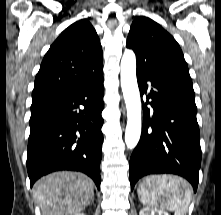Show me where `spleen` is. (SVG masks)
Listing matches in <instances>:
<instances>
[{"label":"spleen","mask_w":221,"mask_h":215,"mask_svg":"<svg viewBox=\"0 0 221 215\" xmlns=\"http://www.w3.org/2000/svg\"><path fill=\"white\" fill-rule=\"evenodd\" d=\"M189 184L180 177L163 175L145 178L138 188L141 202L150 208L173 211L186 215L191 202Z\"/></svg>","instance_id":"obj_1"}]
</instances>
